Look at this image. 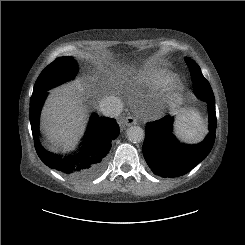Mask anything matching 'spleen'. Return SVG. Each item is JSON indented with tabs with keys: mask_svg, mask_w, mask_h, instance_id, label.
<instances>
[{
	"mask_svg": "<svg viewBox=\"0 0 245 245\" xmlns=\"http://www.w3.org/2000/svg\"><path fill=\"white\" fill-rule=\"evenodd\" d=\"M176 134L183 141L197 143L206 134V126L200 114L194 110H188L182 114L175 124Z\"/></svg>",
	"mask_w": 245,
	"mask_h": 245,
	"instance_id": "3e777b00",
	"label": "spleen"
}]
</instances>
